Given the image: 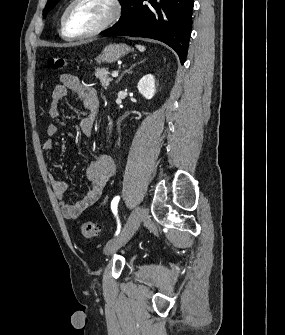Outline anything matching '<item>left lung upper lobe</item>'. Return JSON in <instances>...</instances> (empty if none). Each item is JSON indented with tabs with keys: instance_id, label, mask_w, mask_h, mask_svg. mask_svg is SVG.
Returning <instances> with one entry per match:
<instances>
[{
	"instance_id": "obj_1",
	"label": "left lung upper lobe",
	"mask_w": 285,
	"mask_h": 335,
	"mask_svg": "<svg viewBox=\"0 0 285 335\" xmlns=\"http://www.w3.org/2000/svg\"><path fill=\"white\" fill-rule=\"evenodd\" d=\"M59 0H48L45 9L43 10V17H46V14L55 6ZM121 3L123 0H119Z\"/></svg>"
}]
</instances>
